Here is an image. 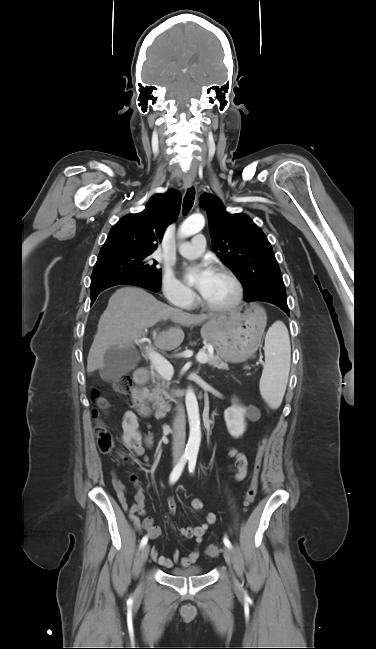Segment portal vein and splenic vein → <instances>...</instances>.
<instances>
[{
	"instance_id": "obj_1",
	"label": "portal vein and splenic vein",
	"mask_w": 376,
	"mask_h": 649,
	"mask_svg": "<svg viewBox=\"0 0 376 649\" xmlns=\"http://www.w3.org/2000/svg\"><path fill=\"white\" fill-rule=\"evenodd\" d=\"M147 332V328L144 330ZM142 341H145V339H142ZM148 357L155 368V370L165 379L170 380L174 374V369L170 362L160 356L158 353L154 352L153 350H150L148 347H146ZM197 362L200 364H205L208 362V356L203 353L199 352V354L196 357Z\"/></svg>"
}]
</instances>
